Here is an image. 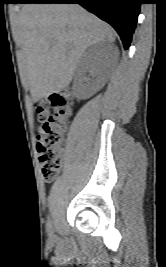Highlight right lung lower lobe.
<instances>
[{"label": "right lung lower lobe", "instance_id": "obj_1", "mask_svg": "<svg viewBox=\"0 0 166 267\" xmlns=\"http://www.w3.org/2000/svg\"><path fill=\"white\" fill-rule=\"evenodd\" d=\"M20 3H78L114 27L124 49H128L142 0H20Z\"/></svg>", "mask_w": 166, "mask_h": 267}]
</instances>
